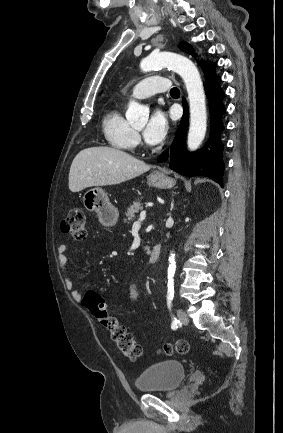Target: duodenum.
<instances>
[{
	"mask_svg": "<svg viewBox=\"0 0 283 433\" xmlns=\"http://www.w3.org/2000/svg\"><path fill=\"white\" fill-rule=\"evenodd\" d=\"M161 252V246L159 244L154 245L149 255V262L151 264L157 263L161 257Z\"/></svg>",
	"mask_w": 283,
	"mask_h": 433,
	"instance_id": "obj_1",
	"label": "duodenum"
}]
</instances>
